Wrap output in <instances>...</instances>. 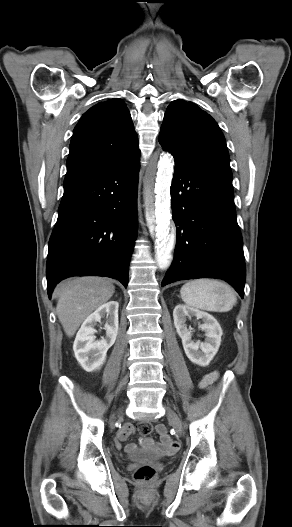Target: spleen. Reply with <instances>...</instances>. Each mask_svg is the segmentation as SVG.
<instances>
[{
	"label": "spleen",
	"instance_id": "spleen-1",
	"mask_svg": "<svg viewBox=\"0 0 292 527\" xmlns=\"http://www.w3.org/2000/svg\"><path fill=\"white\" fill-rule=\"evenodd\" d=\"M180 296L188 306L214 312L230 311L237 301L230 286L211 279H196L185 283L181 287Z\"/></svg>",
	"mask_w": 292,
	"mask_h": 527
}]
</instances>
